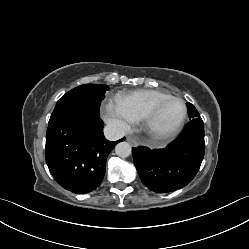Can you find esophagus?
Instances as JSON below:
<instances>
[{"mask_svg":"<svg viewBox=\"0 0 249 249\" xmlns=\"http://www.w3.org/2000/svg\"><path fill=\"white\" fill-rule=\"evenodd\" d=\"M126 140L134 147L138 145V142L133 138L128 137Z\"/></svg>","mask_w":249,"mask_h":249,"instance_id":"obj_1","label":"esophagus"}]
</instances>
